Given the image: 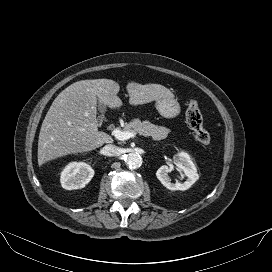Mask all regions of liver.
Wrapping results in <instances>:
<instances>
[{"label": "liver", "mask_w": 272, "mask_h": 272, "mask_svg": "<svg viewBox=\"0 0 272 272\" xmlns=\"http://www.w3.org/2000/svg\"><path fill=\"white\" fill-rule=\"evenodd\" d=\"M129 104L138 106L163 98H173V93L160 84L129 82L126 86ZM120 86L111 79H87L65 88L53 101L40 129L38 164L69 154L84 153L112 143L105 132L98 131L97 103L111 109L122 106L117 96Z\"/></svg>", "instance_id": "6515ba94"}]
</instances>
